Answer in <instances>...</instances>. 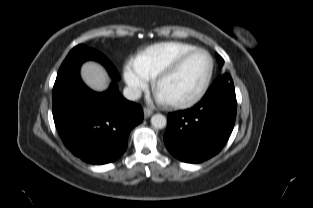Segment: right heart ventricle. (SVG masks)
<instances>
[{"instance_id": "e07e8e85", "label": "right heart ventricle", "mask_w": 313, "mask_h": 208, "mask_svg": "<svg viewBox=\"0 0 313 208\" xmlns=\"http://www.w3.org/2000/svg\"><path fill=\"white\" fill-rule=\"evenodd\" d=\"M196 46L183 42H162L143 50L133 61V66L149 79L172 64L181 54L195 49Z\"/></svg>"}]
</instances>
